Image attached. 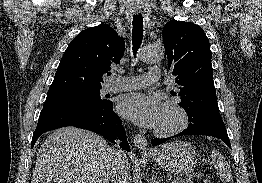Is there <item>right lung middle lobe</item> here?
Instances as JSON below:
<instances>
[{"label":"right lung middle lobe","instance_id":"1","mask_svg":"<svg viewBox=\"0 0 262 183\" xmlns=\"http://www.w3.org/2000/svg\"><path fill=\"white\" fill-rule=\"evenodd\" d=\"M101 88L71 89L51 91L47 93L46 102H74L85 105H105L108 100L100 97Z\"/></svg>","mask_w":262,"mask_h":183}]
</instances>
